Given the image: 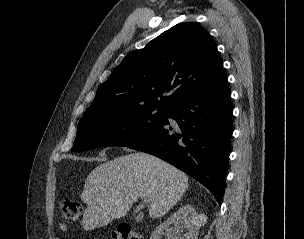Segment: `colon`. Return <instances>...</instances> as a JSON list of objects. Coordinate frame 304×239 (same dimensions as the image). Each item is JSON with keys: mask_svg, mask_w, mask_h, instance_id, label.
<instances>
[{"mask_svg": "<svg viewBox=\"0 0 304 239\" xmlns=\"http://www.w3.org/2000/svg\"><path fill=\"white\" fill-rule=\"evenodd\" d=\"M60 208L64 218L69 222H75L81 215V204L73 199H62ZM114 239H143L142 235L132 229L128 224L119 225L112 234Z\"/></svg>", "mask_w": 304, "mask_h": 239, "instance_id": "5ec220e1", "label": "colon"}]
</instances>
